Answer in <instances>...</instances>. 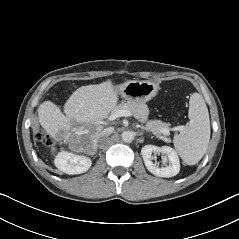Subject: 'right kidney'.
<instances>
[{
    "label": "right kidney",
    "mask_w": 239,
    "mask_h": 239,
    "mask_svg": "<svg viewBox=\"0 0 239 239\" xmlns=\"http://www.w3.org/2000/svg\"><path fill=\"white\" fill-rule=\"evenodd\" d=\"M54 163L60 171L74 175L86 172L92 161L88 157L63 151L56 156Z\"/></svg>",
    "instance_id": "obj_1"
}]
</instances>
